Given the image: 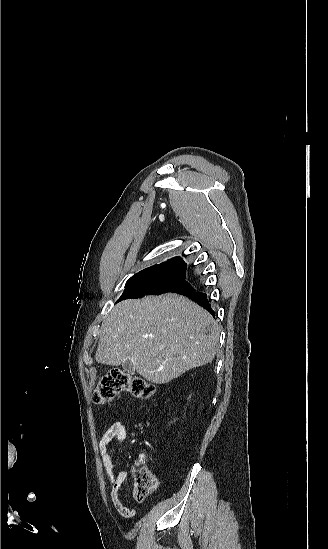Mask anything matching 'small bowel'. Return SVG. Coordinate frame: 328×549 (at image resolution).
I'll return each mask as SVG.
<instances>
[{
  "instance_id": "c3829d8e",
  "label": "small bowel",
  "mask_w": 328,
  "mask_h": 549,
  "mask_svg": "<svg viewBox=\"0 0 328 549\" xmlns=\"http://www.w3.org/2000/svg\"><path fill=\"white\" fill-rule=\"evenodd\" d=\"M127 436H128L127 426L121 421H114L105 430L99 442V452H100L101 460L103 463L105 473L111 484V492H110L111 501L116 511L124 517H130L132 515V511L123 504L119 495L121 487L128 477V472L121 471L116 477H114L112 449H113V445L122 442L127 438ZM137 464L147 465L148 469H151L150 458L145 453H142L138 456ZM152 478H153V487H152V491H153L157 487V481L153 475H152Z\"/></svg>"
}]
</instances>
